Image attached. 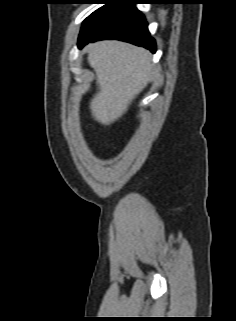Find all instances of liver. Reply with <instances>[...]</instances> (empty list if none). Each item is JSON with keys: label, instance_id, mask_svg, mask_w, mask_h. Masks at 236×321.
<instances>
[{"label": "liver", "instance_id": "1", "mask_svg": "<svg viewBox=\"0 0 236 321\" xmlns=\"http://www.w3.org/2000/svg\"><path fill=\"white\" fill-rule=\"evenodd\" d=\"M87 52L100 90L91 100V113L96 121L110 125L147 86L151 58L147 50L116 40L89 44Z\"/></svg>", "mask_w": 236, "mask_h": 321}]
</instances>
